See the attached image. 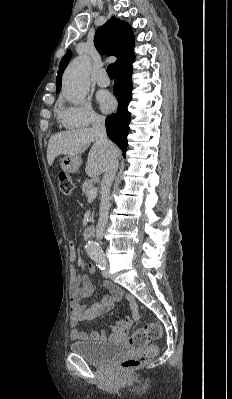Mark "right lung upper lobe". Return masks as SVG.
<instances>
[{"instance_id": "1", "label": "right lung upper lobe", "mask_w": 232, "mask_h": 399, "mask_svg": "<svg viewBox=\"0 0 232 399\" xmlns=\"http://www.w3.org/2000/svg\"><path fill=\"white\" fill-rule=\"evenodd\" d=\"M94 45L101 54L117 57L115 68L134 58V35L129 24L111 17L107 23L101 26L95 33ZM71 51L68 50L59 64L56 77V92L61 88L62 74L68 65Z\"/></svg>"}]
</instances>
